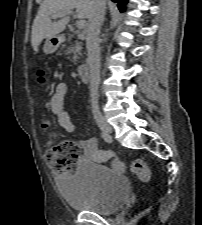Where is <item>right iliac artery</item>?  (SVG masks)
<instances>
[{
	"label": "right iliac artery",
	"instance_id": "82829eb1",
	"mask_svg": "<svg viewBox=\"0 0 202 225\" xmlns=\"http://www.w3.org/2000/svg\"><path fill=\"white\" fill-rule=\"evenodd\" d=\"M101 134V137L104 139V141L110 143L112 140H111V136L110 135H107L105 133H100Z\"/></svg>",
	"mask_w": 202,
	"mask_h": 225
}]
</instances>
